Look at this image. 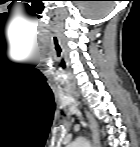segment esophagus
I'll return each instance as SVG.
<instances>
[{
  "label": "esophagus",
  "mask_w": 140,
  "mask_h": 147,
  "mask_svg": "<svg viewBox=\"0 0 140 147\" xmlns=\"http://www.w3.org/2000/svg\"><path fill=\"white\" fill-rule=\"evenodd\" d=\"M85 113H86L87 118L89 120L90 128L92 131L93 146L100 147V133H99L98 124L88 110L85 109Z\"/></svg>",
  "instance_id": "1"
}]
</instances>
